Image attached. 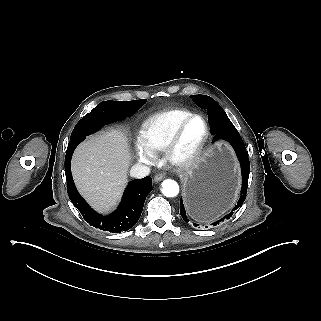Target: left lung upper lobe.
<instances>
[{
  "mask_svg": "<svg viewBox=\"0 0 321 321\" xmlns=\"http://www.w3.org/2000/svg\"><path fill=\"white\" fill-rule=\"evenodd\" d=\"M193 101L202 109L208 110L210 108H215L224 111L221 106L211 97L206 95H193Z\"/></svg>",
  "mask_w": 321,
  "mask_h": 321,
  "instance_id": "1",
  "label": "left lung upper lobe"
}]
</instances>
